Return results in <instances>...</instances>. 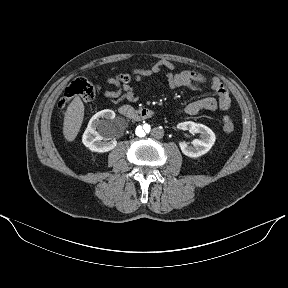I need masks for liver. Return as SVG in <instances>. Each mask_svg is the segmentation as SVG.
Masks as SVG:
<instances>
[{
  "label": "liver",
  "instance_id": "liver-1",
  "mask_svg": "<svg viewBox=\"0 0 288 288\" xmlns=\"http://www.w3.org/2000/svg\"><path fill=\"white\" fill-rule=\"evenodd\" d=\"M84 118V104L75 97L69 104L63 123V134L67 141H73L79 133Z\"/></svg>",
  "mask_w": 288,
  "mask_h": 288
}]
</instances>
